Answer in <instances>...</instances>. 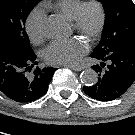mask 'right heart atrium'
I'll return each instance as SVG.
<instances>
[{"label": "right heart atrium", "mask_w": 135, "mask_h": 135, "mask_svg": "<svg viewBox=\"0 0 135 135\" xmlns=\"http://www.w3.org/2000/svg\"><path fill=\"white\" fill-rule=\"evenodd\" d=\"M45 15L40 9H34L27 17L26 32L30 40L35 43H41L45 38Z\"/></svg>", "instance_id": "1"}]
</instances>
